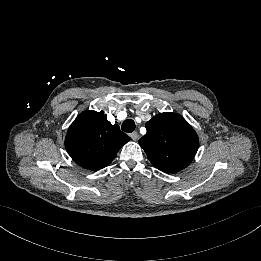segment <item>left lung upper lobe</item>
I'll return each instance as SVG.
<instances>
[{
  "instance_id": "left-lung-upper-lobe-1",
  "label": "left lung upper lobe",
  "mask_w": 261,
  "mask_h": 261,
  "mask_svg": "<svg viewBox=\"0 0 261 261\" xmlns=\"http://www.w3.org/2000/svg\"><path fill=\"white\" fill-rule=\"evenodd\" d=\"M147 133L139 140L150 162L159 170L173 173L186 168L199 147L197 133L180 115L164 112L146 125Z\"/></svg>"
}]
</instances>
